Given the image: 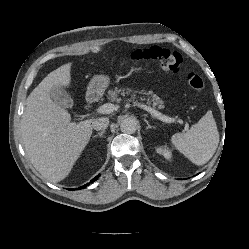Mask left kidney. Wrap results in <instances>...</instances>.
I'll return each instance as SVG.
<instances>
[{
  "mask_svg": "<svg viewBox=\"0 0 249 249\" xmlns=\"http://www.w3.org/2000/svg\"><path fill=\"white\" fill-rule=\"evenodd\" d=\"M156 152L163 155L166 159H170L172 157L171 151L165 147H156Z\"/></svg>",
  "mask_w": 249,
  "mask_h": 249,
  "instance_id": "1",
  "label": "left kidney"
}]
</instances>
